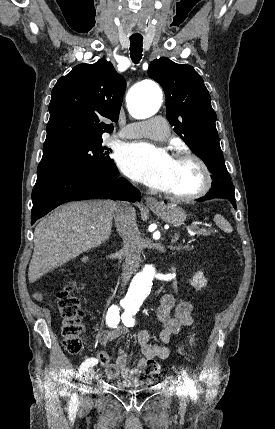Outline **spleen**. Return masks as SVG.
Segmentation results:
<instances>
[{
	"label": "spleen",
	"mask_w": 275,
	"mask_h": 429,
	"mask_svg": "<svg viewBox=\"0 0 275 429\" xmlns=\"http://www.w3.org/2000/svg\"><path fill=\"white\" fill-rule=\"evenodd\" d=\"M214 221L216 223V225L221 228L224 232L226 233H231L233 231L232 226L229 224V222L227 220H225V218L221 215H216L214 217Z\"/></svg>",
	"instance_id": "1"
}]
</instances>
